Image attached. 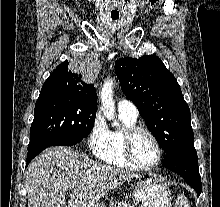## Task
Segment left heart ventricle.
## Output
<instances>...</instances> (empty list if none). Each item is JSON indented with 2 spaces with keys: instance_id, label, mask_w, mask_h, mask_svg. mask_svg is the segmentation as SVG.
Segmentation results:
<instances>
[{
  "instance_id": "1",
  "label": "left heart ventricle",
  "mask_w": 220,
  "mask_h": 207,
  "mask_svg": "<svg viewBox=\"0 0 220 207\" xmlns=\"http://www.w3.org/2000/svg\"><path fill=\"white\" fill-rule=\"evenodd\" d=\"M133 152L143 165H151L157 160V149L152 139L145 133H138L133 141Z\"/></svg>"
}]
</instances>
